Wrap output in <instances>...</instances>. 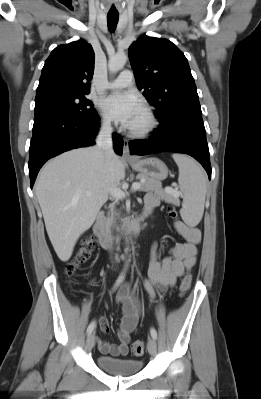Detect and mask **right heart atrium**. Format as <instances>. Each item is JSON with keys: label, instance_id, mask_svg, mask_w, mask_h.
I'll return each instance as SVG.
<instances>
[{"label": "right heart atrium", "instance_id": "d8ad5b80", "mask_svg": "<svg viewBox=\"0 0 261 399\" xmlns=\"http://www.w3.org/2000/svg\"><path fill=\"white\" fill-rule=\"evenodd\" d=\"M101 127H102L104 130H110V129L112 128L110 120H109L108 118L104 117V118L101 120Z\"/></svg>", "mask_w": 261, "mask_h": 399}]
</instances>
